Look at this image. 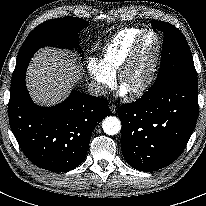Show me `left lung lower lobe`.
I'll return each mask as SVG.
<instances>
[{
    "instance_id": "left-lung-lower-lobe-1",
    "label": "left lung lower lobe",
    "mask_w": 206,
    "mask_h": 206,
    "mask_svg": "<svg viewBox=\"0 0 206 206\" xmlns=\"http://www.w3.org/2000/svg\"><path fill=\"white\" fill-rule=\"evenodd\" d=\"M198 109V85L193 80L171 81L121 105V147L127 163L145 172L173 163L195 129Z\"/></svg>"
}]
</instances>
